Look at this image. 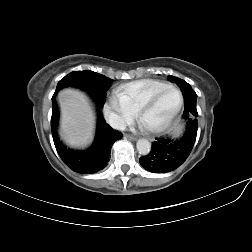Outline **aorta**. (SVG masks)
<instances>
[{
	"instance_id": "762f6f07",
	"label": "aorta",
	"mask_w": 252,
	"mask_h": 252,
	"mask_svg": "<svg viewBox=\"0 0 252 252\" xmlns=\"http://www.w3.org/2000/svg\"><path fill=\"white\" fill-rule=\"evenodd\" d=\"M136 147L140 154L147 155L151 150V143L147 139H139Z\"/></svg>"
}]
</instances>
